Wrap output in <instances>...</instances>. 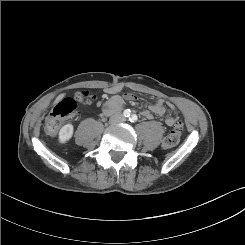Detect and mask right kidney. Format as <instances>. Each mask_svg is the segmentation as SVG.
Returning <instances> with one entry per match:
<instances>
[{
    "label": "right kidney",
    "instance_id": "ca27d5eb",
    "mask_svg": "<svg viewBox=\"0 0 245 245\" xmlns=\"http://www.w3.org/2000/svg\"><path fill=\"white\" fill-rule=\"evenodd\" d=\"M74 128L71 123L64 125L60 131L58 136V141L61 144H65L68 142L73 136Z\"/></svg>",
    "mask_w": 245,
    "mask_h": 245
}]
</instances>
